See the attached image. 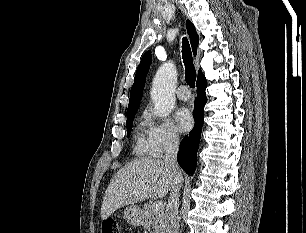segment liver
<instances>
[{
	"label": "liver",
	"mask_w": 306,
	"mask_h": 233,
	"mask_svg": "<svg viewBox=\"0 0 306 233\" xmlns=\"http://www.w3.org/2000/svg\"><path fill=\"white\" fill-rule=\"evenodd\" d=\"M174 175L163 160L141 158L123 166L113 177L103 197L101 218L107 219L117 209L162 198L171 190Z\"/></svg>",
	"instance_id": "6515ba94"
}]
</instances>
